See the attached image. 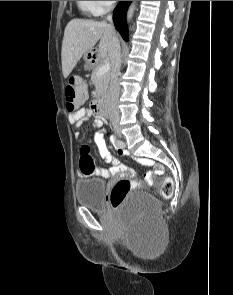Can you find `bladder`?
Returning a JSON list of instances; mask_svg holds the SVG:
<instances>
[{"mask_svg": "<svg viewBox=\"0 0 233 295\" xmlns=\"http://www.w3.org/2000/svg\"><path fill=\"white\" fill-rule=\"evenodd\" d=\"M75 193L77 202L92 211L104 213L107 210L105 203L106 183L94 177L82 178L76 182ZM160 203L156 197L147 193H137L123 206L126 214L138 216L146 221L158 218Z\"/></svg>", "mask_w": 233, "mask_h": 295, "instance_id": "31cf9c89", "label": "bladder"}]
</instances>
